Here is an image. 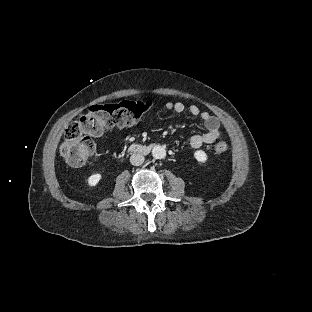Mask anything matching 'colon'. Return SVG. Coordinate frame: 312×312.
Wrapping results in <instances>:
<instances>
[{"instance_id":"colon-1","label":"colon","mask_w":312,"mask_h":312,"mask_svg":"<svg viewBox=\"0 0 312 312\" xmlns=\"http://www.w3.org/2000/svg\"><path fill=\"white\" fill-rule=\"evenodd\" d=\"M147 101H122L116 104H99L91 106L77 123L65 131L61 151L72 166H81L92 155L94 143L92 136L102 135L114 127L133 125L139 122L149 111ZM225 141L214 146L217 154L228 151Z\"/></svg>"}]
</instances>
